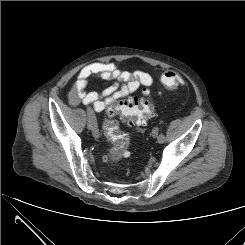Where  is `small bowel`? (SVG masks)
<instances>
[{"mask_svg":"<svg viewBox=\"0 0 245 245\" xmlns=\"http://www.w3.org/2000/svg\"><path fill=\"white\" fill-rule=\"evenodd\" d=\"M94 77L104 81L116 80L117 83L106 86L101 92L87 91L88 83ZM153 83L154 79L148 72H128L119 69L113 62H95L79 72L68 98L73 106L92 105L96 111L101 112L139 88L149 87Z\"/></svg>","mask_w":245,"mask_h":245,"instance_id":"obj_1","label":"small bowel"}]
</instances>
